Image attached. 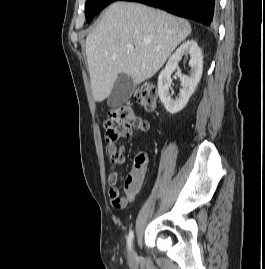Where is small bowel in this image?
Segmentation results:
<instances>
[{
  "label": "small bowel",
  "instance_id": "small-bowel-1",
  "mask_svg": "<svg viewBox=\"0 0 265 269\" xmlns=\"http://www.w3.org/2000/svg\"><path fill=\"white\" fill-rule=\"evenodd\" d=\"M146 126L143 130H149V123L144 120ZM106 153L110 158V174L108 176L109 182V200L112 207L116 209H125L130 203H132L136 196L139 194L143 181L146 158L144 154H139L135 159V165L130 171L124 182V196L120 194L119 189L116 186L118 175L115 172V168L124 163L125 158L120 149H118L115 143H108L106 146Z\"/></svg>",
  "mask_w": 265,
  "mask_h": 269
}]
</instances>
